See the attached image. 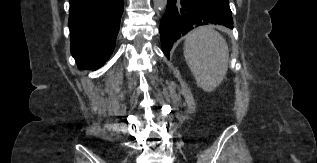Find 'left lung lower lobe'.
Returning a JSON list of instances; mask_svg holds the SVG:
<instances>
[{"label":"left lung lower lobe","instance_id":"0a47b994","mask_svg":"<svg viewBox=\"0 0 317 163\" xmlns=\"http://www.w3.org/2000/svg\"><path fill=\"white\" fill-rule=\"evenodd\" d=\"M214 23L233 28L228 0H168L159 28L165 56L169 59L173 43L191 29Z\"/></svg>","mask_w":317,"mask_h":163}]
</instances>
